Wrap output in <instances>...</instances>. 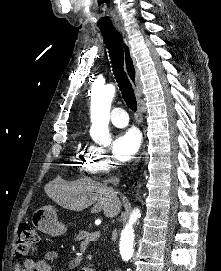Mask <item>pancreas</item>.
<instances>
[{"label": "pancreas", "instance_id": "cf45deb5", "mask_svg": "<svg viewBox=\"0 0 221 271\" xmlns=\"http://www.w3.org/2000/svg\"><path fill=\"white\" fill-rule=\"evenodd\" d=\"M90 234V231H84V229H80L79 233L75 235L74 242H86V236Z\"/></svg>", "mask_w": 221, "mask_h": 271}]
</instances>
